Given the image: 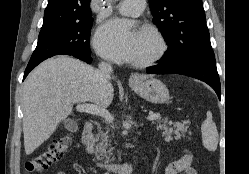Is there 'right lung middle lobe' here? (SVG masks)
<instances>
[{"label": "right lung middle lobe", "mask_w": 249, "mask_h": 174, "mask_svg": "<svg viewBox=\"0 0 249 174\" xmlns=\"http://www.w3.org/2000/svg\"><path fill=\"white\" fill-rule=\"evenodd\" d=\"M93 18L42 28L29 62L63 53L91 54L89 47Z\"/></svg>", "instance_id": "dd1d6c3e"}]
</instances>
